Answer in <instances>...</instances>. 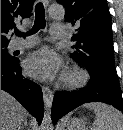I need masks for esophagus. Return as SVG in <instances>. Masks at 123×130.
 Wrapping results in <instances>:
<instances>
[{
    "label": "esophagus",
    "instance_id": "1",
    "mask_svg": "<svg viewBox=\"0 0 123 130\" xmlns=\"http://www.w3.org/2000/svg\"><path fill=\"white\" fill-rule=\"evenodd\" d=\"M41 1L43 2L45 7L49 5V0H41ZM41 88H42L44 103L47 108H50L53 101V92L48 86H41Z\"/></svg>",
    "mask_w": 123,
    "mask_h": 130
}]
</instances>
